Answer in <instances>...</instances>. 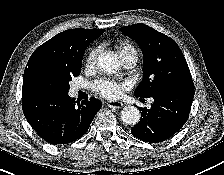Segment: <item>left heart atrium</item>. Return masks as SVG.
<instances>
[{"label":"left heart atrium","instance_id":"1","mask_svg":"<svg viewBox=\"0 0 224 175\" xmlns=\"http://www.w3.org/2000/svg\"><path fill=\"white\" fill-rule=\"evenodd\" d=\"M124 88L125 85L123 83L109 79H101L94 84V90L106 98L119 97Z\"/></svg>","mask_w":224,"mask_h":175}]
</instances>
